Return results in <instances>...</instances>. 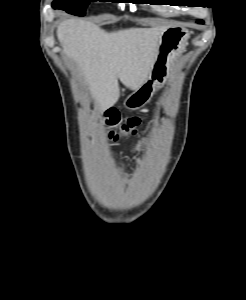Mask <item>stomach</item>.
I'll return each mask as SVG.
<instances>
[{"instance_id": "stomach-1", "label": "stomach", "mask_w": 246, "mask_h": 300, "mask_svg": "<svg viewBox=\"0 0 246 300\" xmlns=\"http://www.w3.org/2000/svg\"><path fill=\"white\" fill-rule=\"evenodd\" d=\"M188 38V30L180 27L167 28L163 32L152 73L141 87L125 99L124 106L126 108L136 110L150 100L155 86L168 79L173 60L184 50Z\"/></svg>"}]
</instances>
